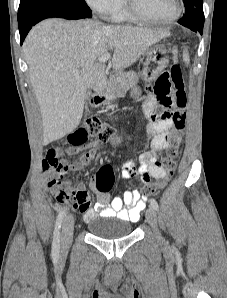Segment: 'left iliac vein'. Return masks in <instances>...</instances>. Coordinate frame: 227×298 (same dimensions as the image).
I'll return each instance as SVG.
<instances>
[{"mask_svg": "<svg viewBox=\"0 0 227 298\" xmlns=\"http://www.w3.org/2000/svg\"><path fill=\"white\" fill-rule=\"evenodd\" d=\"M146 220L149 223V225L152 227V229L154 230L155 236L158 240H162V236L157 228V215L156 212L154 210V208L152 206H150L147 210H146Z\"/></svg>", "mask_w": 227, "mask_h": 298, "instance_id": "left-iliac-vein-1", "label": "left iliac vein"}]
</instances>
